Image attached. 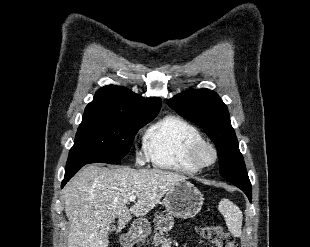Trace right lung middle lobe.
<instances>
[{
	"label": "right lung middle lobe",
	"instance_id": "dd1d6c3e",
	"mask_svg": "<svg viewBox=\"0 0 310 247\" xmlns=\"http://www.w3.org/2000/svg\"><path fill=\"white\" fill-rule=\"evenodd\" d=\"M154 117L83 115L66 168L98 162L120 163L129 152L137 131Z\"/></svg>",
	"mask_w": 310,
	"mask_h": 247
}]
</instances>
